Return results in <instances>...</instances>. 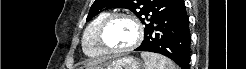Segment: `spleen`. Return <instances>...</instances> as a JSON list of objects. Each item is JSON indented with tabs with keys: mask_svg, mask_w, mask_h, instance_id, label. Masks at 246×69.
I'll return each instance as SVG.
<instances>
[{
	"mask_svg": "<svg viewBox=\"0 0 246 69\" xmlns=\"http://www.w3.org/2000/svg\"><path fill=\"white\" fill-rule=\"evenodd\" d=\"M146 69H177V66L167 57L152 52H143Z\"/></svg>",
	"mask_w": 246,
	"mask_h": 69,
	"instance_id": "spleen-1",
	"label": "spleen"
}]
</instances>
